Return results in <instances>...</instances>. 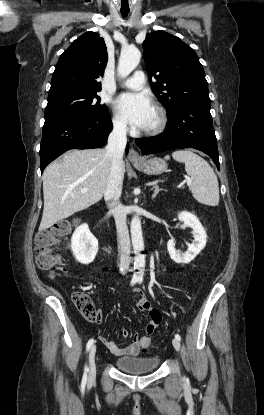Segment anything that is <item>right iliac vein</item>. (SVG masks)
Returning a JSON list of instances; mask_svg holds the SVG:
<instances>
[{
  "mask_svg": "<svg viewBox=\"0 0 264 415\" xmlns=\"http://www.w3.org/2000/svg\"><path fill=\"white\" fill-rule=\"evenodd\" d=\"M95 355H96V345H93L91 347L90 352H89V380L90 381L94 380V378L96 376Z\"/></svg>",
  "mask_w": 264,
  "mask_h": 415,
  "instance_id": "obj_1",
  "label": "right iliac vein"
}]
</instances>
